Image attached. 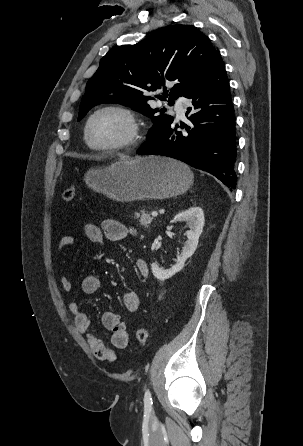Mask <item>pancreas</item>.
Wrapping results in <instances>:
<instances>
[{"mask_svg": "<svg viewBox=\"0 0 303 446\" xmlns=\"http://www.w3.org/2000/svg\"><path fill=\"white\" fill-rule=\"evenodd\" d=\"M137 217L140 218V224L144 227V228H148L149 225L152 223L153 218L150 216V214L148 212H146L145 210H141L140 213L137 214Z\"/></svg>", "mask_w": 303, "mask_h": 446, "instance_id": "cf45deb5", "label": "pancreas"}]
</instances>
